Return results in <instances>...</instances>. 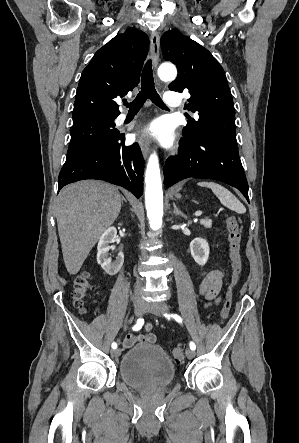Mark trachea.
<instances>
[{"label": "trachea", "mask_w": 299, "mask_h": 443, "mask_svg": "<svg viewBox=\"0 0 299 443\" xmlns=\"http://www.w3.org/2000/svg\"><path fill=\"white\" fill-rule=\"evenodd\" d=\"M147 99H150L155 105L159 106L160 108H166L154 86L151 60H148L143 68L140 92L132 102L128 103L127 101H125L124 105L129 108L130 112H137L143 106Z\"/></svg>", "instance_id": "trachea-1"}]
</instances>
